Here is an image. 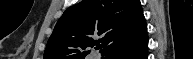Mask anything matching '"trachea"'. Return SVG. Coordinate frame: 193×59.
I'll return each mask as SVG.
<instances>
[{
    "mask_svg": "<svg viewBox=\"0 0 193 59\" xmlns=\"http://www.w3.org/2000/svg\"><path fill=\"white\" fill-rule=\"evenodd\" d=\"M102 47L101 46H97V49H101Z\"/></svg>",
    "mask_w": 193,
    "mask_h": 59,
    "instance_id": "3493384b",
    "label": "trachea"
}]
</instances>
